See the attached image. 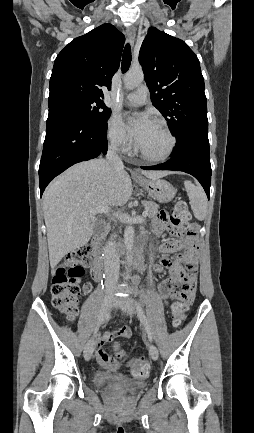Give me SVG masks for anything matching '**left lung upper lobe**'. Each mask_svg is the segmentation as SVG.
<instances>
[{
  "instance_id": "1",
  "label": "left lung upper lobe",
  "mask_w": 254,
  "mask_h": 433,
  "mask_svg": "<svg viewBox=\"0 0 254 433\" xmlns=\"http://www.w3.org/2000/svg\"><path fill=\"white\" fill-rule=\"evenodd\" d=\"M151 101L176 140L208 132L204 78L195 53L182 40L151 27L139 52Z\"/></svg>"
}]
</instances>
